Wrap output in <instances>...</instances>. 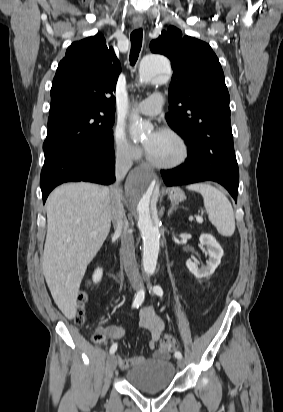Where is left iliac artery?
<instances>
[{"label":"left iliac artery","instance_id":"left-iliac-artery-1","mask_svg":"<svg viewBox=\"0 0 283 412\" xmlns=\"http://www.w3.org/2000/svg\"><path fill=\"white\" fill-rule=\"evenodd\" d=\"M152 291H153L157 296H159V297H162V296H163V290H162V288H161L159 285H155V286L153 287ZM175 357L178 358V359H181V358H182L181 352H180V351H176V352H175Z\"/></svg>","mask_w":283,"mask_h":412}]
</instances>
